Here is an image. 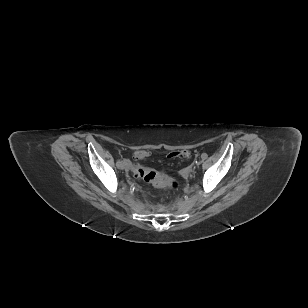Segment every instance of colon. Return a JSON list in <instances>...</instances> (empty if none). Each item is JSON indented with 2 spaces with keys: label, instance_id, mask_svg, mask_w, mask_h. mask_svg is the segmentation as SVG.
I'll use <instances>...</instances> for the list:
<instances>
[{
  "label": "colon",
  "instance_id": "obj_1",
  "mask_svg": "<svg viewBox=\"0 0 308 308\" xmlns=\"http://www.w3.org/2000/svg\"><path fill=\"white\" fill-rule=\"evenodd\" d=\"M147 156L148 152L144 150H140L134 153L135 159H144ZM189 157L190 152L188 150H179L169 154V158L187 159ZM132 172L134 176L142 178L144 181L157 187L175 189L178 186L177 181L163 171H157L141 165H134L132 167Z\"/></svg>",
  "mask_w": 308,
  "mask_h": 308
}]
</instances>
